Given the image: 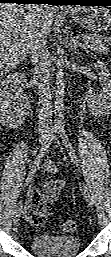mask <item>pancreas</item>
Masks as SVG:
<instances>
[{
	"instance_id": "pancreas-1",
	"label": "pancreas",
	"mask_w": 111,
	"mask_h": 257,
	"mask_svg": "<svg viewBox=\"0 0 111 257\" xmlns=\"http://www.w3.org/2000/svg\"><path fill=\"white\" fill-rule=\"evenodd\" d=\"M84 40V45L87 49L99 54H106L109 51V45H111V37L87 36Z\"/></svg>"
}]
</instances>
